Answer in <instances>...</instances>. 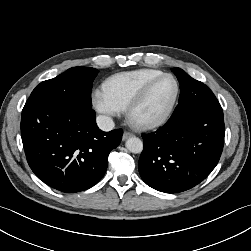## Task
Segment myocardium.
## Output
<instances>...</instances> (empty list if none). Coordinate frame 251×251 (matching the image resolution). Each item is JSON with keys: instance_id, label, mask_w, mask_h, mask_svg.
<instances>
[{"instance_id": "myocardium-1", "label": "myocardium", "mask_w": 251, "mask_h": 251, "mask_svg": "<svg viewBox=\"0 0 251 251\" xmlns=\"http://www.w3.org/2000/svg\"><path fill=\"white\" fill-rule=\"evenodd\" d=\"M163 78H171L175 83V93L171 102L169 103L166 110L158 117L148 120L139 119L136 116L138 109L142 106L145 102L146 98L148 97L151 89ZM180 94V84L178 79L170 73H162L161 75L151 79L136 95V97L132 100L127 108V118L128 121L132 126L139 130H153L161 127L164 125L169 118L171 117L175 106L177 104L178 98Z\"/></svg>"}]
</instances>
